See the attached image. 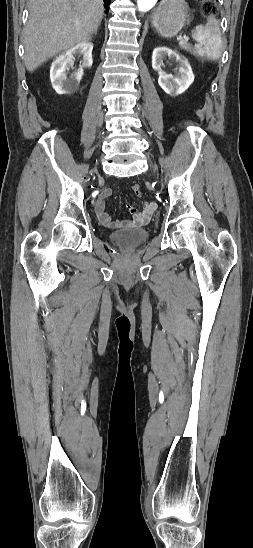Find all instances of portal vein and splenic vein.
I'll return each mask as SVG.
<instances>
[{
	"label": "portal vein and splenic vein",
	"mask_w": 253,
	"mask_h": 548,
	"mask_svg": "<svg viewBox=\"0 0 253 548\" xmlns=\"http://www.w3.org/2000/svg\"><path fill=\"white\" fill-rule=\"evenodd\" d=\"M188 39H189V38H188L187 36H184V40H185V41H188ZM196 47H197V48H201V45H196Z\"/></svg>",
	"instance_id": "obj_1"
}]
</instances>
